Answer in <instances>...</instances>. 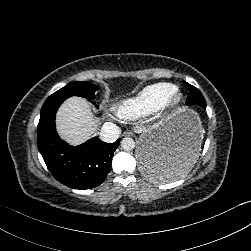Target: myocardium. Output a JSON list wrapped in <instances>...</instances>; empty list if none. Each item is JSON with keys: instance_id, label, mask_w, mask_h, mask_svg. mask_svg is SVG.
Here are the masks:
<instances>
[{"instance_id": "f54148a6", "label": "myocardium", "mask_w": 251, "mask_h": 251, "mask_svg": "<svg viewBox=\"0 0 251 251\" xmlns=\"http://www.w3.org/2000/svg\"><path fill=\"white\" fill-rule=\"evenodd\" d=\"M172 88L173 92H167L162 101L153 111L156 118L161 120L171 119L184 108L186 103L185 93L175 84H172ZM175 96H178V101L173 103Z\"/></svg>"}]
</instances>
